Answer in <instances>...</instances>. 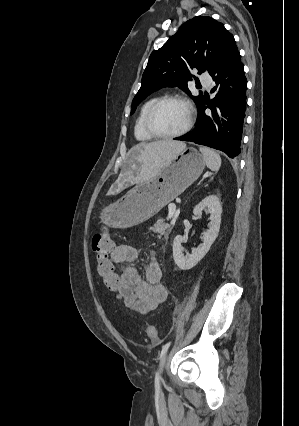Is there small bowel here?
I'll use <instances>...</instances> for the list:
<instances>
[{"instance_id":"c3829d8e","label":"small bowel","mask_w":299,"mask_h":426,"mask_svg":"<svg viewBox=\"0 0 299 426\" xmlns=\"http://www.w3.org/2000/svg\"><path fill=\"white\" fill-rule=\"evenodd\" d=\"M137 259L138 251L130 245H119L111 253L114 267L120 270L121 300L133 311L147 314L166 300L168 291L154 252L144 268V277L134 265Z\"/></svg>"}]
</instances>
